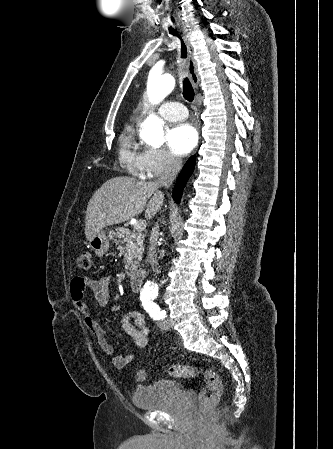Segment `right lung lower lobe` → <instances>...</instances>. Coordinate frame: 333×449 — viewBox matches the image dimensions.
<instances>
[{
  "label": "right lung lower lobe",
  "instance_id": "right-lung-lower-lobe-1",
  "mask_svg": "<svg viewBox=\"0 0 333 449\" xmlns=\"http://www.w3.org/2000/svg\"><path fill=\"white\" fill-rule=\"evenodd\" d=\"M195 156L190 157L189 160L184 165L182 171L180 172L174 190H173V199L179 203L181 199V195L184 189V186L186 182L188 181L189 177L193 173L194 166H195Z\"/></svg>",
  "mask_w": 333,
  "mask_h": 449
}]
</instances>
